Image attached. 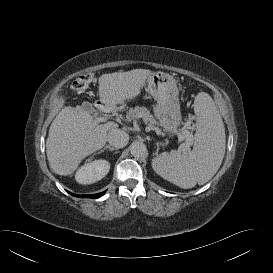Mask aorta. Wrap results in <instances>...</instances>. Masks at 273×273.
Here are the masks:
<instances>
[{
	"label": "aorta",
	"mask_w": 273,
	"mask_h": 273,
	"mask_svg": "<svg viewBox=\"0 0 273 273\" xmlns=\"http://www.w3.org/2000/svg\"><path fill=\"white\" fill-rule=\"evenodd\" d=\"M130 153L133 157L141 158L147 153L146 145L143 142L135 141L130 145Z\"/></svg>",
	"instance_id": "aorta-1"
}]
</instances>
